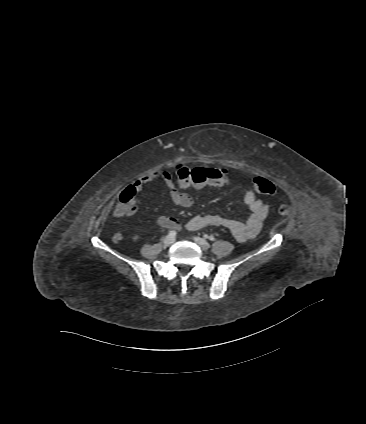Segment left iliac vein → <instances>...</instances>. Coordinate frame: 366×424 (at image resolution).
Listing matches in <instances>:
<instances>
[{
  "mask_svg": "<svg viewBox=\"0 0 366 424\" xmlns=\"http://www.w3.org/2000/svg\"><path fill=\"white\" fill-rule=\"evenodd\" d=\"M193 239L202 250H208L210 248V244L205 239L200 237H194Z\"/></svg>",
  "mask_w": 366,
  "mask_h": 424,
  "instance_id": "left-iliac-vein-1",
  "label": "left iliac vein"
}]
</instances>
